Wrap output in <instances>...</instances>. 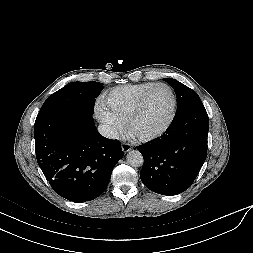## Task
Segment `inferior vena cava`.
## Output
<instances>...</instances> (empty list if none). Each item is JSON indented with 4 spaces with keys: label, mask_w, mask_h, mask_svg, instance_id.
<instances>
[{
    "label": "inferior vena cava",
    "mask_w": 253,
    "mask_h": 253,
    "mask_svg": "<svg viewBox=\"0 0 253 253\" xmlns=\"http://www.w3.org/2000/svg\"><path fill=\"white\" fill-rule=\"evenodd\" d=\"M98 132L103 137H106V138H109V139H119L118 131L110 125H107V124L99 125L98 126Z\"/></svg>",
    "instance_id": "inferior-vena-cava-1"
}]
</instances>
